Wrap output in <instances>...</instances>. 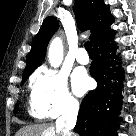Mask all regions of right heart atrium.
I'll use <instances>...</instances> for the list:
<instances>
[{"instance_id": "d8ad5b80", "label": "right heart atrium", "mask_w": 136, "mask_h": 136, "mask_svg": "<svg viewBox=\"0 0 136 136\" xmlns=\"http://www.w3.org/2000/svg\"><path fill=\"white\" fill-rule=\"evenodd\" d=\"M30 88V109L36 117L55 118L78 109V101L69 91L62 72L41 69L33 75Z\"/></svg>"}]
</instances>
